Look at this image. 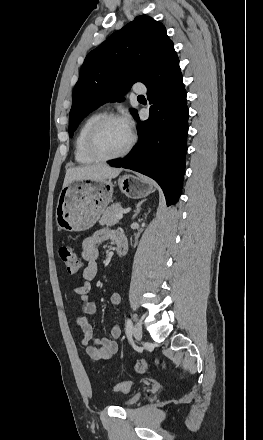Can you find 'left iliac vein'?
I'll list each match as a JSON object with an SVG mask.
<instances>
[{
    "label": "left iliac vein",
    "instance_id": "1",
    "mask_svg": "<svg viewBox=\"0 0 263 440\" xmlns=\"http://www.w3.org/2000/svg\"><path fill=\"white\" fill-rule=\"evenodd\" d=\"M132 332L137 341L142 338V326L139 322L134 325Z\"/></svg>",
    "mask_w": 263,
    "mask_h": 440
}]
</instances>
